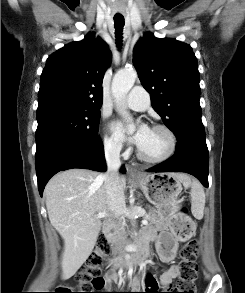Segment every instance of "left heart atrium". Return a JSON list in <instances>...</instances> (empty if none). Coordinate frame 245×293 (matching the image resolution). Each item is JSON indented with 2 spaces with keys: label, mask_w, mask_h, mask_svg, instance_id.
<instances>
[{
  "label": "left heart atrium",
  "mask_w": 245,
  "mask_h": 293,
  "mask_svg": "<svg viewBox=\"0 0 245 293\" xmlns=\"http://www.w3.org/2000/svg\"><path fill=\"white\" fill-rule=\"evenodd\" d=\"M112 128L117 137L121 139H128L138 147L142 146L150 131V128L147 125H141L134 134L128 135L124 122H115Z\"/></svg>",
  "instance_id": "obj_1"
}]
</instances>
